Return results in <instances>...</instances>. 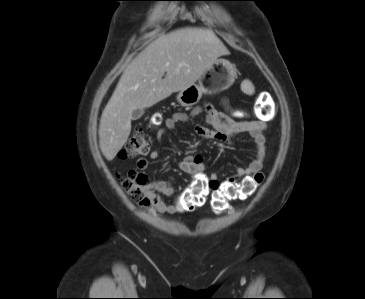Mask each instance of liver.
<instances>
[{
	"label": "liver",
	"mask_w": 365,
	"mask_h": 299,
	"mask_svg": "<svg viewBox=\"0 0 365 299\" xmlns=\"http://www.w3.org/2000/svg\"><path fill=\"white\" fill-rule=\"evenodd\" d=\"M228 54L222 41L206 28L178 29L151 43L124 71L103 110L99 142L105 158L113 160L127 142L135 109L149 108L190 87Z\"/></svg>",
	"instance_id": "6515ba94"
}]
</instances>
